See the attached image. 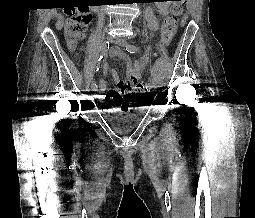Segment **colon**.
Segmentation results:
<instances>
[{"instance_id": "1", "label": "colon", "mask_w": 255, "mask_h": 218, "mask_svg": "<svg viewBox=\"0 0 255 218\" xmlns=\"http://www.w3.org/2000/svg\"><path fill=\"white\" fill-rule=\"evenodd\" d=\"M170 1V14L165 18L162 27L160 40L164 45H168L177 31L178 17L182 13L184 0H167ZM65 35L71 46H74L87 32L91 15L85 8L70 7L65 11ZM143 84L137 83L133 86L125 87L130 96H139L143 93Z\"/></svg>"}]
</instances>
